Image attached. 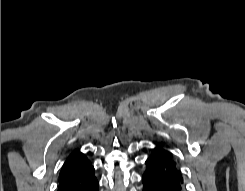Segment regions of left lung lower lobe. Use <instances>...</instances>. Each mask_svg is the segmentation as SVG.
Masks as SVG:
<instances>
[{"instance_id":"left-lung-lower-lobe-1","label":"left lung lower lobe","mask_w":245,"mask_h":191,"mask_svg":"<svg viewBox=\"0 0 245 191\" xmlns=\"http://www.w3.org/2000/svg\"><path fill=\"white\" fill-rule=\"evenodd\" d=\"M145 164L142 191H184L180 168L165 149L155 148Z\"/></svg>"}]
</instances>
